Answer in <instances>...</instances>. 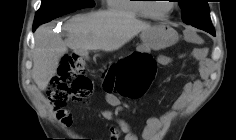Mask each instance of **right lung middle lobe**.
Returning <instances> with one entry per match:
<instances>
[{"label": "right lung middle lobe", "instance_id": "dd1d6c3e", "mask_svg": "<svg viewBox=\"0 0 236 140\" xmlns=\"http://www.w3.org/2000/svg\"><path fill=\"white\" fill-rule=\"evenodd\" d=\"M94 5L93 0H42L41 7L36 12L33 26H39L64 14Z\"/></svg>", "mask_w": 236, "mask_h": 140}]
</instances>
